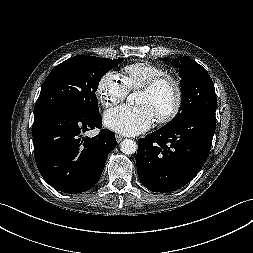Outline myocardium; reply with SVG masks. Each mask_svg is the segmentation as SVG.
Listing matches in <instances>:
<instances>
[{"mask_svg": "<svg viewBox=\"0 0 253 253\" xmlns=\"http://www.w3.org/2000/svg\"><path fill=\"white\" fill-rule=\"evenodd\" d=\"M164 87L171 90L173 102L167 111L156 117L157 122L160 124L172 122L180 113L183 104V91L181 85L173 76L165 74L153 79L142 87V91L151 95H156Z\"/></svg>", "mask_w": 253, "mask_h": 253, "instance_id": "1", "label": "myocardium"}]
</instances>
